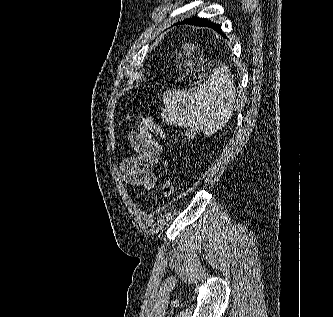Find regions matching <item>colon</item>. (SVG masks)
<instances>
[{
	"label": "colon",
	"mask_w": 333,
	"mask_h": 317,
	"mask_svg": "<svg viewBox=\"0 0 333 317\" xmlns=\"http://www.w3.org/2000/svg\"><path fill=\"white\" fill-rule=\"evenodd\" d=\"M194 135L192 128H186L182 132V136L185 138H191ZM174 186L170 180H163L160 185V199L165 200L173 195Z\"/></svg>",
	"instance_id": "colon-1"
}]
</instances>
